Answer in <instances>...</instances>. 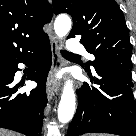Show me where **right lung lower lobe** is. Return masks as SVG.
<instances>
[{
    "mask_svg": "<svg viewBox=\"0 0 136 136\" xmlns=\"http://www.w3.org/2000/svg\"><path fill=\"white\" fill-rule=\"evenodd\" d=\"M33 62L27 79L38 86L30 92L19 93L20 84L14 76L18 63ZM52 64L49 38H45L28 52L0 65V127L17 131L26 136H40L43 110L47 103L46 79Z\"/></svg>",
    "mask_w": 136,
    "mask_h": 136,
    "instance_id": "1",
    "label": "right lung lower lobe"
}]
</instances>
